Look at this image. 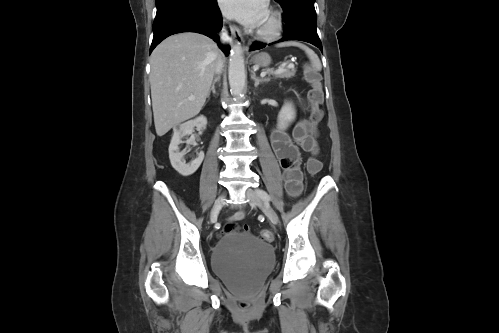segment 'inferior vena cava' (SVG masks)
<instances>
[{
    "instance_id": "obj_1",
    "label": "inferior vena cava",
    "mask_w": 499,
    "mask_h": 333,
    "mask_svg": "<svg viewBox=\"0 0 499 333\" xmlns=\"http://www.w3.org/2000/svg\"><path fill=\"white\" fill-rule=\"evenodd\" d=\"M220 40H221L222 43H231L232 42V39L228 35V32L226 31L225 28H223L222 31H221ZM222 67H223V60L221 58H219L218 61H217V63H216L215 72L217 74L221 73Z\"/></svg>"
}]
</instances>
